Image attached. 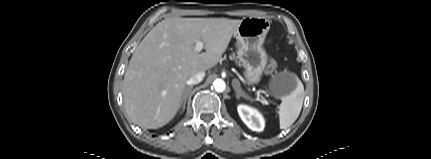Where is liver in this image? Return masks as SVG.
Instances as JSON below:
<instances>
[{
	"instance_id": "1",
	"label": "liver",
	"mask_w": 431,
	"mask_h": 159,
	"mask_svg": "<svg viewBox=\"0 0 431 159\" xmlns=\"http://www.w3.org/2000/svg\"><path fill=\"white\" fill-rule=\"evenodd\" d=\"M241 20L167 18L154 26L134 51L123 80V101L137 125L157 129L180 108L192 73L215 67ZM197 41L205 52L197 53Z\"/></svg>"
}]
</instances>
